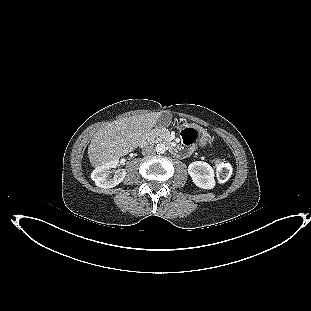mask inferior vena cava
Masks as SVG:
<instances>
[{
  "label": "inferior vena cava",
  "mask_w": 311,
  "mask_h": 311,
  "mask_svg": "<svg viewBox=\"0 0 311 311\" xmlns=\"http://www.w3.org/2000/svg\"><path fill=\"white\" fill-rule=\"evenodd\" d=\"M155 149L152 145H147L142 149V154L143 155H152L154 154Z\"/></svg>",
  "instance_id": "1"
}]
</instances>
